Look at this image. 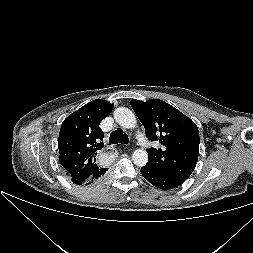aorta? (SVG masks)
Returning a JSON list of instances; mask_svg holds the SVG:
<instances>
[{
  "instance_id": "aorta-1",
  "label": "aorta",
  "mask_w": 253,
  "mask_h": 253,
  "mask_svg": "<svg viewBox=\"0 0 253 253\" xmlns=\"http://www.w3.org/2000/svg\"><path fill=\"white\" fill-rule=\"evenodd\" d=\"M115 121L126 129H132L136 127L137 120L135 114L126 107H118L114 111ZM132 160L135 165L142 167L148 162V154L143 149H137L132 154Z\"/></svg>"
}]
</instances>
